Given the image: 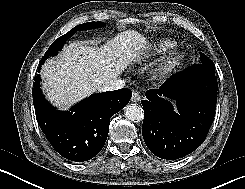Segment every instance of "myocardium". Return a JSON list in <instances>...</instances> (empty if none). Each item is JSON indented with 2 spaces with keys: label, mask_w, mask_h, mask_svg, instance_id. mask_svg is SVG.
Here are the masks:
<instances>
[{
  "label": "myocardium",
  "mask_w": 245,
  "mask_h": 189,
  "mask_svg": "<svg viewBox=\"0 0 245 189\" xmlns=\"http://www.w3.org/2000/svg\"><path fill=\"white\" fill-rule=\"evenodd\" d=\"M185 60L184 53L180 51L170 52L162 62L160 74L167 75L179 68Z\"/></svg>",
  "instance_id": "f54148a6"
}]
</instances>
